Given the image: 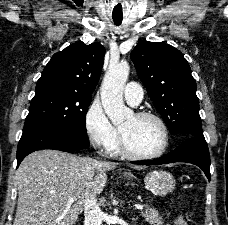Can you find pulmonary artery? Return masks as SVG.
<instances>
[{
    "label": "pulmonary artery",
    "mask_w": 228,
    "mask_h": 225,
    "mask_svg": "<svg viewBox=\"0 0 228 225\" xmlns=\"http://www.w3.org/2000/svg\"><path fill=\"white\" fill-rule=\"evenodd\" d=\"M124 98L128 104L137 106L143 98L142 85H136L135 81H130L129 85H125Z\"/></svg>",
    "instance_id": "1"
}]
</instances>
